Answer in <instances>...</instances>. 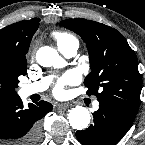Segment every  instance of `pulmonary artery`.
I'll return each mask as SVG.
<instances>
[{
    "mask_svg": "<svg viewBox=\"0 0 145 145\" xmlns=\"http://www.w3.org/2000/svg\"><path fill=\"white\" fill-rule=\"evenodd\" d=\"M58 49L65 57H68V58L73 57L77 53L78 42L77 41H68V42H64V43H59ZM49 82H50V78L46 77V78H43L39 82L23 85L20 88V95L22 97H28L30 95L42 92L46 89ZM93 107H94V109H97L99 107V102L95 101L93 104Z\"/></svg>",
    "mask_w": 145,
    "mask_h": 145,
    "instance_id": "pulmonary-artery-1",
    "label": "pulmonary artery"
}]
</instances>
